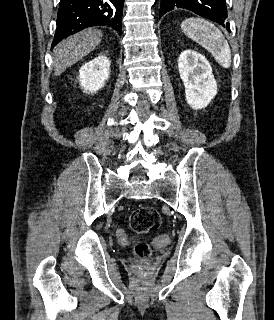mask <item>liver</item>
Listing matches in <instances>:
<instances>
[{"label":"liver","instance_id":"liver-1","mask_svg":"<svg viewBox=\"0 0 274 320\" xmlns=\"http://www.w3.org/2000/svg\"><path fill=\"white\" fill-rule=\"evenodd\" d=\"M101 40V30H94V28L82 30V32L62 40L53 50L54 76H61L66 68H70L79 60H83L84 56H88L90 52L96 50Z\"/></svg>","mask_w":274,"mask_h":320}]
</instances>
